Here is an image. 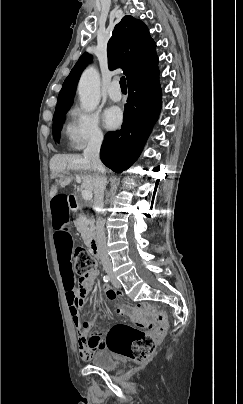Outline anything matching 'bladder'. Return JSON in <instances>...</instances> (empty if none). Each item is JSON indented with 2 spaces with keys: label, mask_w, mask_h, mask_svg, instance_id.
I'll return each instance as SVG.
<instances>
[{
  "label": "bladder",
  "mask_w": 243,
  "mask_h": 404,
  "mask_svg": "<svg viewBox=\"0 0 243 404\" xmlns=\"http://www.w3.org/2000/svg\"><path fill=\"white\" fill-rule=\"evenodd\" d=\"M91 362L95 367L105 371H112L118 367V361L108 349L96 351L91 358Z\"/></svg>",
  "instance_id": "1"
}]
</instances>
